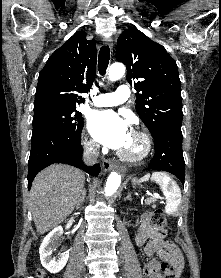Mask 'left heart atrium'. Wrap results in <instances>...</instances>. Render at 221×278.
<instances>
[{
  "instance_id": "left-heart-atrium-1",
  "label": "left heart atrium",
  "mask_w": 221,
  "mask_h": 278,
  "mask_svg": "<svg viewBox=\"0 0 221 278\" xmlns=\"http://www.w3.org/2000/svg\"><path fill=\"white\" fill-rule=\"evenodd\" d=\"M88 128L99 143L113 149H122L131 135L127 122L111 110L93 112Z\"/></svg>"
}]
</instances>
